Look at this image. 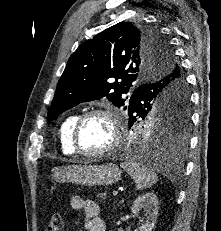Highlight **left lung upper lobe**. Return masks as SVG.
<instances>
[{"instance_id": "1", "label": "left lung upper lobe", "mask_w": 221, "mask_h": 231, "mask_svg": "<svg viewBox=\"0 0 221 231\" xmlns=\"http://www.w3.org/2000/svg\"><path fill=\"white\" fill-rule=\"evenodd\" d=\"M175 71L178 77L171 82L178 86L171 94L153 93L139 102V106L130 100L125 106L128 97L124 98V94L140 82L159 81ZM183 79L168 40L156 28L120 22L85 41L70 56L47 119L54 120L81 102L107 97L115 106L128 109L130 121L154 115L157 117L154 132L177 129L173 136L178 132L184 134L189 123V96L187 89L179 85ZM174 93L185 100L184 105L175 108L171 102Z\"/></svg>"}]
</instances>
